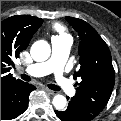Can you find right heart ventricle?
I'll return each instance as SVG.
<instances>
[{"label":"right heart ventricle","mask_w":121,"mask_h":121,"mask_svg":"<svg viewBox=\"0 0 121 121\" xmlns=\"http://www.w3.org/2000/svg\"><path fill=\"white\" fill-rule=\"evenodd\" d=\"M56 29H57V30L61 33V35H60V36L65 35V34H63V32H62V29H61V28L57 27Z\"/></svg>","instance_id":"obj_1"}]
</instances>
